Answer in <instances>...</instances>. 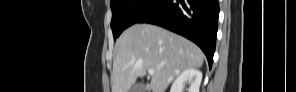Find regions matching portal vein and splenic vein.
I'll list each match as a JSON object with an SVG mask.
<instances>
[{"label":"portal vein and splenic vein","instance_id":"obj_1","mask_svg":"<svg viewBox=\"0 0 296 92\" xmlns=\"http://www.w3.org/2000/svg\"><path fill=\"white\" fill-rule=\"evenodd\" d=\"M148 73H149L150 75H152V74L155 73V70H154V69H148Z\"/></svg>","mask_w":296,"mask_h":92}]
</instances>
